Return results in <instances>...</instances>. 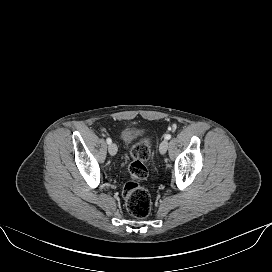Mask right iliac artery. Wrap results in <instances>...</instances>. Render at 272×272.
I'll return each instance as SVG.
<instances>
[{
    "mask_svg": "<svg viewBox=\"0 0 272 272\" xmlns=\"http://www.w3.org/2000/svg\"><path fill=\"white\" fill-rule=\"evenodd\" d=\"M106 141H107V143H108L109 145H110L111 142H112V140H111L110 138H107Z\"/></svg>",
    "mask_w": 272,
    "mask_h": 272,
    "instance_id": "right-iliac-artery-1",
    "label": "right iliac artery"
}]
</instances>
